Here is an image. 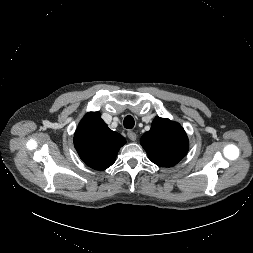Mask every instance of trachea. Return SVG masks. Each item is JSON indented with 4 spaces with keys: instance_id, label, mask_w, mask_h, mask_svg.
<instances>
[{
    "instance_id": "trachea-1",
    "label": "trachea",
    "mask_w": 253,
    "mask_h": 253,
    "mask_svg": "<svg viewBox=\"0 0 253 253\" xmlns=\"http://www.w3.org/2000/svg\"><path fill=\"white\" fill-rule=\"evenodd\" d=\"M134 118L131 116V115H127L125 118H124V127L126 129H132L134 127Z\"/></svg>"
}]
</instances>
